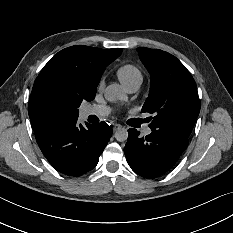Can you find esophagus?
Segmentation results:
<instances>
[{"label":"esophagus","instance_id":"esophagus-1","mask_svg":"<svg viewBox=\"0 0 233 233\" xmlns=\"http://www.w3.org/2000/svg\"><path fill=\"white\" fill-rule=\"evenodd\" d=\"M122 128V125L121 124H114L113 125V131L115 132V131H117V130H119V129H121Z\"/></svg>","mask_w":233,"mask_h":233}]
</instances>
